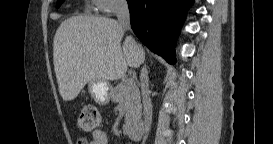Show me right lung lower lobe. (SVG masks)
I'll return each instance as SVG.
<instances>
[{
  "mask_svg": "<svg viewBox=\"0 0 273 144\" xmlns=\"http://www.w3.org/2000/svg\"><path fill=\"white\" fill-rule=\"evenodd\" d=\"M131 27L154 53L175 63L174 42L193 0H127Z\"/></svg>",
  "mask_w": 273,
  "mask_h": 144,
  "instance_id": "right-lung-lower-lobe-1",
  "label": "right lung lower lobe"
}]
</instances>
